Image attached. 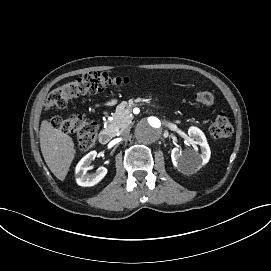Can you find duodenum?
<instances>
[{
  "mask_svg": "<svg viewBox=\"0 0 271 271\" xmlns=\"http://www.w3.org/2000/svg\"><path fill=\"white\" fill-rule=\"evenodd\" d=\"M112 138L113 132L108 128L102 129L99 133V140L102 144H108Z\"/></svg>",
  "mask_w": 271,
  "mask_h": 271,
  "instance_id": "obj_1",
  "label": "duodenum"
}]
</instances>
